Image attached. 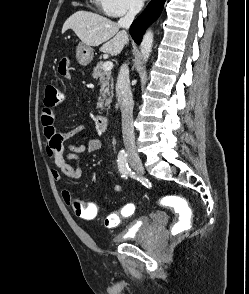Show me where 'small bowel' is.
<instances>
[{
  "mask_svg": "<svg viewBox=\"0 0 249 294\" xmlns=\"http://www.w3.org/2000/svg\"><path fill=\"white\" fill-rule=\"evenodd\" d=\"M64 77L69 78L67 73ZM57 113L54 107L44 106L40 114V124L46 139V152L48 157L52 161V167L50 174L55 182H61L63 176L69 178L72 181H78L82 176V170L80 167V154L82 153H95L101 148V140L88 132L85 125H77L76 127L60 132L56 128ZM79 135H86L87 140L83 144H70L67 146V152H65L64 142ZM75 162V165H71L70 162ZM112 189L116 193H122L123 187L119 183H114ZM61 197L63 201L72 206L75 200L73 195L68 190L61 191ZM89 209H94L95 216L89 218L87 216H81L86 220L94 219L97 216V206L94 203H86ZM125 207L120 212L112 213L105 219V225L107 228L113 229L117 227L124 215ZM115 220V222H113Z\"/></svg>",
  "mask_w": 249,
  "mask_h": 294,
  "instance_id": "c3829d8e",
  "label": "small bowel"
}]
</instances>
